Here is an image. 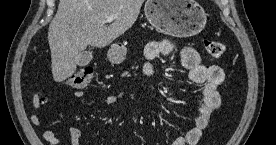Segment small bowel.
I'll list each match as a JSON object with an SVG mask.
<instances>
[{"label": "small bowel", "instance_id": "obj_1", "mask_svg": "<svg viewBox=\"0 0 276 145\" xmlns=\"http://www.w3.org/2000/svg\"><path fill=\"white\" fill-rule=\"evenodd\" d=\"M173 51V44L168 40L153 41L148 44L145 50L147 59L143 66V72L146 76L153 73L152 61L160 55H168ZM181 62L184 68L188 70L189 78L192 82L203 84L202 96L198 104V115L194 121V125L188 132L176 138L171 145H196L200 140L203 131L208 126L213 113L221 105V97L218 88L225 78L223 69L216 65H204L201 63V58L198 52L191 47H186L181 52ZM45 94L44 91L37 92L33 97V106L38 109L43 104L38 95ZM74 96L82 98L84 92L75 91ZM123 98L121 93L107 95L104 103L111 106ZM30 122L34 126L41 124L40 116L33 114L30 117ZM84 136V131L78 127H72L69 131L70 145H80V140ZM43 137L50 145H60V140L55 136L52 130H45Z\"/></svg>", "mask_w": 276, "mask_h": 145}]
</instances>
